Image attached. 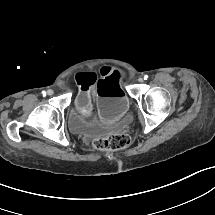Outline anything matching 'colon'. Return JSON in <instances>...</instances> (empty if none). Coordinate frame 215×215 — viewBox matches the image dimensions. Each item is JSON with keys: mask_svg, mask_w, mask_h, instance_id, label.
Masks as SVG:
<instances>
[{"mask_svg": "<svg viewBox=\"0 0 215 215\" xmlns=\"http://www.w3.org/2000/svg\"><path fill=\"white\" fill-rule=\"evenodd\" d=\"M129 145V138L126 134L117 133L106 137L93 139V146L97 150H117Z\"/></svg>", "mask_w": 215, "mask_h": 215, "instance_id": "5ec220e1", "label": "colon"}]
</instances>
